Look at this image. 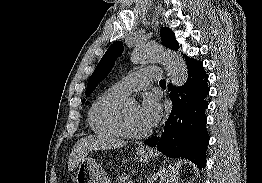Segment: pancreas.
I'll use <instances>...</instances> for the list:
<instances>
[{
    "label": "pancreas",
    "instance_id": "pancreas-1",
    "mask_svg": "<svg viewBox=\"0 0 262 183\" xmlns=\"http://www.w3.org/2000/svg\"><path fill=\"white\" fill-rule=\"evenodd\" d=\"M115 183H133V182L131 180L130 175L122 174V175L118 176Z\"/></svg>",
    "mask_w": 262,
    "mask_h": 183
}]
</instances>
